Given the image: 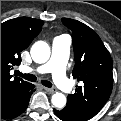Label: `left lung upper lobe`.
<instances>
[{
    "label": "left lung upper lobe",
    "mask_w": 121,
    "mask_h": 121,
    "mask_svg": "<svg viewBox=\"0 0 121 121\" xmlns=\"http://www.w3.org/2000/svg\"><path fill=\"white\" fill-rule=\"evenodd\" d=\"M73 33L74 78L81 82L67 97V108L85 119L94 117L107 102L113 87L112 60L100 37L87 25L62 18Z\"/></svg>",
    "instance_id": "left-lung-upper-lobe-1"
}]
</instances>
